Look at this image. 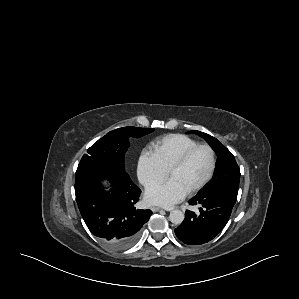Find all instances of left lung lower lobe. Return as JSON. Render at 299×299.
I'll return each instance as SVG.
<instances>
[{"instance_id":"0a47b994","label":"left lung lower lobe","mask_w":299,"mask_h":299,"mask_svg":"<svg viewBox=\"0 0 299 299\" xmlns=\"http://www.w3.org/2000/svg\"><path fill=\"white\" fill-rule=\"evenodd\" d=\"M236 202L230 194L220 191L198 194L189 201L200 205V214L187 210L175 234L183 243L200 245L212 240L227 224Z\"/></svg>"}]
</instances>
